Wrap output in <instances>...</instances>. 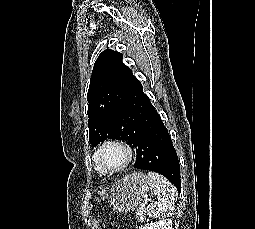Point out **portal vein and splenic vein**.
Here are the masks:
<instances>
[{
    "label": "portal vein and splenic vein",
    "mask_w": 255,
    "mask_h": 229,
    "mask_svg": "<svg viewBox=\"0 0 255 229\" xmlns=\"http://www.w3.org/2000/svg\"><path fill=\"white\" fill-rule=\"evenodd\" d=\"M147 202H148V200L146 199V200L143 202V204L141 205V209H143V208L146 206Z\"/></svg>",
    "instance_id": "obj_1"
}]
</instances>
